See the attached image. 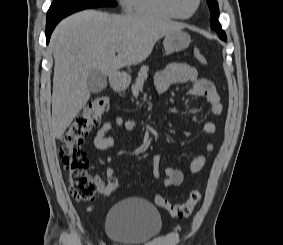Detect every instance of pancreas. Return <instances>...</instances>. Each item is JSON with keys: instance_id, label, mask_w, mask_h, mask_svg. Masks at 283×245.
Returning a JSON list of instances; mask_svg holds the SVG:
<instances>
[{"instance_id": "1", "label": "pancreas", "mask_w": 283, "mask_h": 245, "mask_svg": "<svg viewBox=\"0 0 283 245\" xmlns=\"http://www.w3.org/2000/svg\"><path fill=\"white\" fill-rule=\"evenodd\" d=\"M148 70H149L148 66H142L138 73V77L136 79L135 84L132 85V92L135 97L138 96L139 91H142L144 81L148 77Z\"/></svg>"}]
</instances>
